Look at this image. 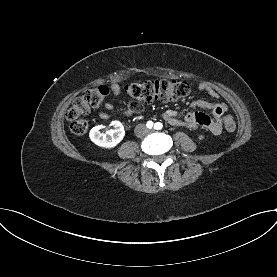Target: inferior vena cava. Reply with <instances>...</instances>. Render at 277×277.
Segmentation results:
<instances>
[{
    "label": "inferior vena cava",
    "instance_id": "602c4592",
    "mask_svg": "<svg viewBox=\"0 0 277 277\" xmlns=\"http://www.w3.org/2000/svg\"><path fill=\"white\" fill-rule=\"evenodd\" d=\"M135 135L137 137H143L147 135L148 129L145 127L144 124H138L134 129Z\"/></svg>",
    "mask_w": 277,
    "mask_h": 277
}]
</instances>
